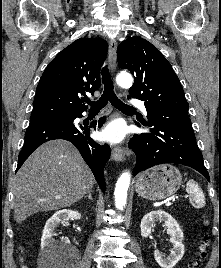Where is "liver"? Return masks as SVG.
<instances>
[{
  "label": "liver",
  "instance_id": "liver-1",
  "mask_svg": "<svg viewBox=\"0 0 221 268\" xmlns=\"http://www.w3.org/2000/svg\"><path fill=\"white\" fill-rule=\"evenodd\" d=\"M95 178L78 150L64 140L41 145L25 161L13 182L14 219L69 207L89 191Z\"/></svg>",
  "mask_w": 221,
  "mask_h": 268
}]
</instances>
